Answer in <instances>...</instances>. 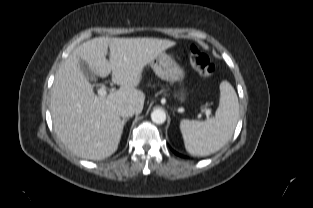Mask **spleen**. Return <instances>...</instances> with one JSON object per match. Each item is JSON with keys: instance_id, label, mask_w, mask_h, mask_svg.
Listing matches in <instances>:
<instances>
[{"instance_id": "obj_1", "label": "spleen", "mask_w": 313, "mask_h": 208, "mask_svg": "<svg viewBox=\"0 0 313 208\" xmlns=\"http://www.w3.org/2000/svg\"><path fill=\"white\" fill-rule=\"evenodd\" d=\"M239 116V103L228 81L220 84V102L215 117L205 121L183 119L180 130L184 145L192 155H209L221 149L232 137Z\"/></svg>"}]
</instances>
